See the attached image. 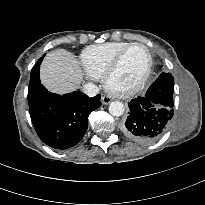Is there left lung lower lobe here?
<instances>
[{
    "mask_svg": "<svg viewBox=\"0 0 205 205\" xmlns=\"http://www.w3.org/2000/svg\"><path fill=\"white\" fill-rule=\"evenodd\" d=\"M173 98L165 89H148L144 97L129 103V115L122 124L123 133L133 141L151 143L167 130L173 117Z\"/></svg>",
    "mask_w": 205,
    "mask_h": 205,
    "instance_id": "1",
    "label": "left lung lower lobe"
}]
</instances>
